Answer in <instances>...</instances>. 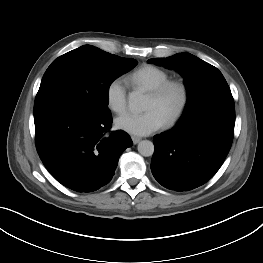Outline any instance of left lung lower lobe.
Listing matches in <instances>:
<instances>
[{
    "mask_svg": "<svg viewBox=\"0 0 263 263\" xmlns=\"http://www.w3.org/2000/svg\"><path fill=\"white\" fill-rule=\"evenodd\" d=\"M234 106H216L155 135L154 178L165 188L189 191L205 184L223 164L232 145Z\"/></svg>",
    "mask_w": 263,
    "mask_h": 263,
    "instance_id": "0a47b994",
    "label": "left lung lower lobe"
}]
</instances>
